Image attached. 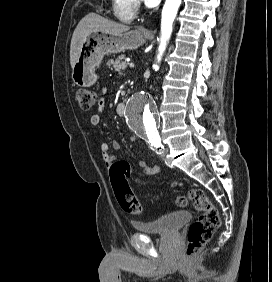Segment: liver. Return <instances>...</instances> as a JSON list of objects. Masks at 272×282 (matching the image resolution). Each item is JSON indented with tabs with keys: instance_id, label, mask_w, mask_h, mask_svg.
<instances>
[{
	"instance_id": "liver-1",
	"label": "liver",
	"mask_w": 272,
	"mask_h": 282,
	"mask_svg": "<svg viewBox=\"0 0 272 282\" xmlns=\"http://www.w3.org/2000/svg\"><path fill=\"white\" fill-rule=\"evenodd\" d=\"M129 29V26L122 23L109 20L95 13H89L78 23L73 32L70 45L71 67H74L81 47L90 34L95 32L120 34L127 32Z\"/></svg>"
}]
</instances>
